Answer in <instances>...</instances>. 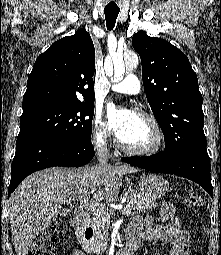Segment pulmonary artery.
I'll use <instances>...</instances> for the list:
<instances>
[{
	"mask_svg": "<svg viewBox=\"0 0 221 255\" xmlns=\"http://www.w3.org/2000/svg\"><path fill=\"white\" fill-rule=\"evenodd\" d=\"M111 90L117 93L135 95L140 92V81L135 75H128L122 81L112 84Z\"/></svg>",
	"mask_w": 221,
	"mask_h": 255,
	"instance_id": "pulmonary-artery-1",
	"label": "pulmonary artery"
}]
</instances>
